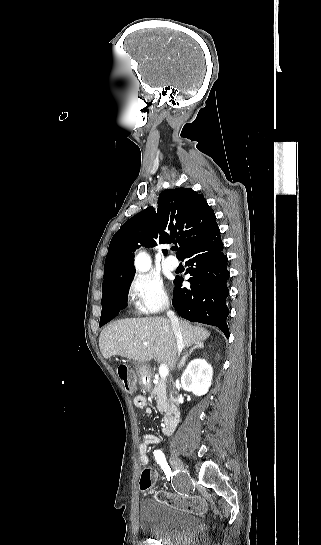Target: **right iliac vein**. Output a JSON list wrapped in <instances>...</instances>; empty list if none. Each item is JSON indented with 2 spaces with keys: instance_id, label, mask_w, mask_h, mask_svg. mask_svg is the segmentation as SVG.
Wrapping results in <instances>:
<instances>
[{
  "instance_id": "63e3f726",
  "label": "right iliac vein",
  "mask_w": 321,
  "mask_h": 545,
  "mask_svg": "<svg viewBox=\"0 0 321 545\" xmlns=\"http://www.w3.org/2000/svg\"><path fill=\"white\" fill-rule=\"evenodd\" d=\"M170 463L173 469H175L176 471H182V472L186 471L183 462L176 455L172 454L170 456Z\"/></svg>"
}]
</instances>
